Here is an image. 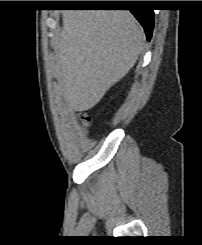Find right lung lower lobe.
Here are the masks:
<instances>
[{"label": "right lung lower lobe", "mask_w": 202, "mask_h": 245, "mask_svg": "<svg viewBox=\"0 0 202 245\" xmlns=\"http://www.w3.org/2000/svg\"><path fill=\"white\" fill-rule=\"evenodd\" d=\"M131 5H141V1H133L130 3ZM87 6H118L116 3H91ZM120 6V5H119ZM130 12L136 17V19L140 22L143 26L147 40L151 39L152 30L154 26V19H153V10L143 8V7H133L130 9Z\"/></svg>", "instance_id": "obj_1"}]
</instances>
